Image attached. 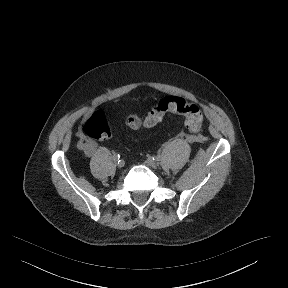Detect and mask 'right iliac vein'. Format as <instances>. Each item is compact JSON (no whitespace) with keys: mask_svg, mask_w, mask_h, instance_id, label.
Listing matches in <instances>:
<instances>
[{"mask_svg":"<svg viewBox=\"0 0 288 288\" xmlns=\"http://www.w3.org/2000/svg\"><path fill=\"white\" fill-rule=\"evenodd\" d=\"M114 162H115L116 166L119 167V168H121V167L124 166L123 161H120V160H114Z\"/></svg>","mask_w":288,"mask_h":288,"instance_id":"right-iliac-vein-1","label":"right iliac vein"}]
</instances>
